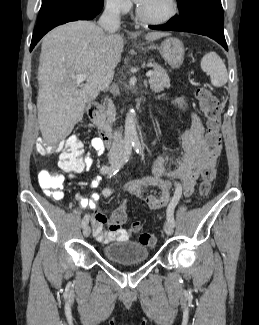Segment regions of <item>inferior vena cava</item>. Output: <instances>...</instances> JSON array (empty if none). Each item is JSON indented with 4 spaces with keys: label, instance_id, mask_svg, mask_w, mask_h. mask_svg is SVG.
Instances as JSON below:
<instances>
[{
    "label": "inferior vena cava",
    "instance_id": "602c4592",
    "mask_svg": "<svg viewBox=\"0 0 259 325\" xmlns=\"http://www.w3.org/2000/svg\"><path fill=\"white\" fill-rule=\"evenodd\" d=\"M98 25L106 32H113L120 27V3L118 0L110 2L106 5L103 14L101 15ZM124 145L122 134L115 131L112 143V152L121 150Z\"/></svg>",
    "mask_w": 259,
    "mask_h": 325
}]
</instances>
